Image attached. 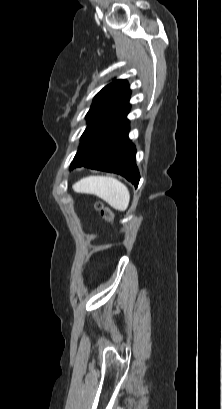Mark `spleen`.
Returning <instances> with one entry per match:
<instances>
[{"mask_svg": "<svg viewBox=\"0 0 222 409\" xmlns=\"http://www.w3.org/2000/svg\"><path fill=\"white\" fill-rule=\"evenodd\" d=\"M77 193L93 194L118 211H125L130 202L128 188L119 180L106 176H89L73 185Z\"/></svg>", "mask_w": 222, "mask_h": 409, "instance_id": "3e777b00", "label": "spleen"}]
</instances>
